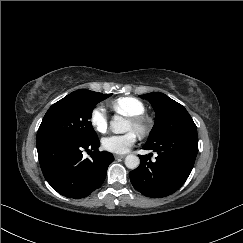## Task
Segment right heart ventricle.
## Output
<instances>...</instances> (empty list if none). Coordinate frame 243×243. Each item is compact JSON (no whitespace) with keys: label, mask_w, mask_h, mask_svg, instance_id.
Returning <instances> with one entry per match:
<instances>
[{"label":"right heart ventricle","mask_w":243,"mask_h":243,"mask_svg":"<svg viewBox=\"0 0 243 243\" xmlns=\"http://www.w3.org/2000/svg\"><path fill=\"white\" fill-rule=\"evenodd\" d=\"M108 107L115 113L129 116L142 115L145 111L144 104L137 98L123 96L113 99L109 102Z\"/></svg>","instance_id":"1"}]
</instances>
